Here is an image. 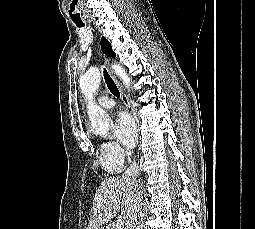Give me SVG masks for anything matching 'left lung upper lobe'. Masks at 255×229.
<instances>
[{"label": "left lung upper lobe", "mask_w": 255, "mask_h": 229, "mask_svg": "<svg viewBox=\"0 0 255 229\" xmlns=\"http://www.w3.org/2000/svg\"><path fill=\"white\" fill-rule=\"evenodd\" d=\"M101 50L106 56L115 57L116 54L113 52L111 44L104 37L101 38Z\"/></svg>", "instance_id": "1"}]
</instances>
